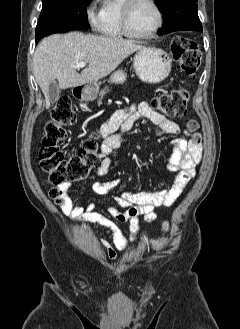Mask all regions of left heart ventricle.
I'll return each instance as SVG.
<instances>
[{"mask_svg":"<svg viewBox=\"0 0 240 329\" xmlns=\"http://www.w3.org/2000/svg\"><path fill=\"white\" fill-rule=\"evenodd\" d=\"M156 23L157 13L154 7L147 0H138L131 12V30L136 33H147Z\"/></svg>","mask_w":240,"mask_h":329,"instance_id":"obj_1","label":"left heart ventricle"}]
</instances>
